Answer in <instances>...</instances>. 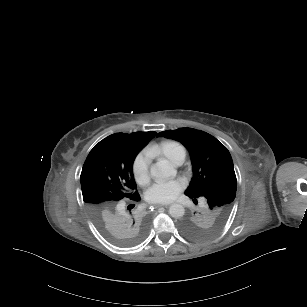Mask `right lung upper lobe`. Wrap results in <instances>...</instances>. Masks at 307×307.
I'll use <instances>...</instances> for the list:
<instances>
[{
	"instance_id": "right-lung-upper-lobe-1",
	"label": "right lung upper lobe",
	"mask_w": 307,
	"mask_h": 307,
	"mask_svg": "<svg viewBox=\"0 0 307 307\" xmlns=\"http://www.w3.org/2000/svg\"><path fill=\"white\" fill-rule=\"evenodd\" d=\"M156 135L155 132L115 133L100 141L90 151L83 165L86 173L106 179L114 192L87 204L95 223L104 231L117 232L130 239L140 238L149 217L140 205L132 165L138 152Z\"/></svg>"
}]
</instances>
